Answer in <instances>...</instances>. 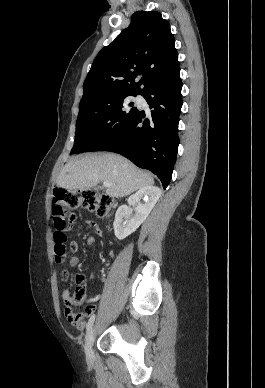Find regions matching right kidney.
<instances>
[{
    "label": "right kidney",
    "mask_w": 265,
    "mask_h": 388,
    "mask_svg": "<svg viewBox=\"0 0 265 388\" xmlns=\"http://www.w3.org/2000/svg\"><path fill=\"white\" fill-rule=\"evenodd\" d=\"M160 196L161 190L156 186H145V188H140L138 192L130 196L128 204L129 206H136L135 214H132V210L128 206L118 208L113 224L116 238L124 240L130 234L136 232L137 228L148 218ZM142 198L145 200V204H141L140 200Z\"/></svg>",
    "instance_id": "right-kidney-1"
}]
</instances>
